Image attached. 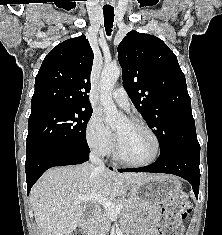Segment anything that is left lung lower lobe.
Here are the masks:
<instances>
[{
  "mask_svg": "<svg viewBox=\"0 0 222 235\" xmlns=\"http://www.w3.org/2000/svg\"><path fill=\"white\" fill-rule=\"evenodd\" d=\"M200 148L177 147L160 154L157 161L147 167L119 169V172L168 173L187 180L193 188L196 198L200 183Z\"/></svg>",
  "mask_w": 222,
  "mask_h": 235,
  "instance_id": "obj_1",
  "label": "left lung lower lobe"
}]
</instances>
